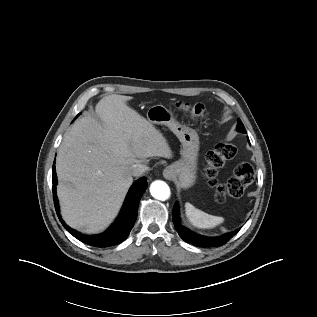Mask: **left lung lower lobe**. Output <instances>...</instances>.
Returning <instances> with one entry per match:
<instances>
[{
    "mask_svg": "<svg viewBox=\"0 0 317 317\" xmlns=\"http://www.w3.org/2000/svg\"><path fill=\"white\" fill-rule=\"evenodd\" d=\"M172 217L173 223L180 237L184 241L191 243L197 247H220L227 243L239 231L237 229L218 237H206L198 235L181 225V220L179 217V205L177 202L174 205Z\"/></svg>",
    "mask_w": 317,
    "mask_h": 317,
    "instance_id": "obj_1",
    "label": "left lung lower lobe"
}]
</instances>
